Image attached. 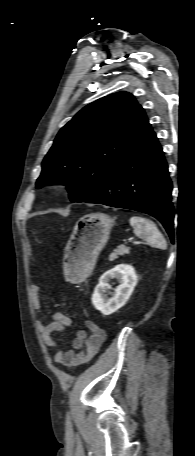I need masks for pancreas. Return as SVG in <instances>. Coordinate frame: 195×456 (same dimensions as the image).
<instances>
[{
    "mask_svg": "<svg viewBox=\"0 0 195 456\" xmlns=\"http://www.w3.org/2000/svg\"><path fill=\"white\" fill-rule=\"evenodd\" d=\"M129 247H126L124 245H120L115 249L110 255H109V260L114 261L116 260L119 256H124L125 254H129Z\"/></svg>",
    "mask_w": 195,
    "mask_h": 456,
    "instance_id": "pancreas-1",
    "label": "pancreas"
}]
</instances>
